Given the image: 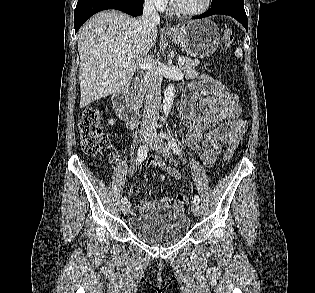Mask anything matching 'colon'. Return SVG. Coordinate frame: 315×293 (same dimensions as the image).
<instances>
[{
	"instance_id": "1",
	"label": "colon",
	"mask_w": 315,
	"mask_h": 293,
	"mask_svg": "<svg viewBox=\"0 0 315 293\" xmlns=\"http://www.w3.org/2000/svg\"><path fill=\"white\" fill-rule=\"evenodd\" d=\"M225 47H228L233 40V31L226 29L224 32ZM227 52V49H224ZM226 56V53H223ZM101 112L97 109L89 108L82 114L79 122L80 143L84 153L88 155H97L102 152L109 144V135L101 127ZM233 154L232 148H227L224 153L226 160L230 159ZM176 202L180 206H186L189 199L185 194L176 195Z\"/></svg>"
}]
</instances>
